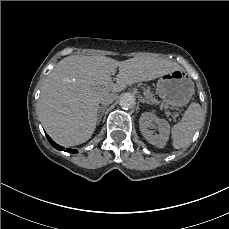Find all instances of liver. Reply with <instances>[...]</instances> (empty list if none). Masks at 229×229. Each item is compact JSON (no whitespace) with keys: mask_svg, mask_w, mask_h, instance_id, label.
Wrapping results in <instances>:
<instances>
[{"mask_svg":"<svg viewBox=\"0 0 229 229\" xmlns=\"http://www.w3.org/2000/svg\"><path fill=\"white\" fill-rule=\"evenodd\" d=\"M116 84H111V75ZM182 69L176 62L152 57L117 61L105 56H68L43 83L36 110L54 142L69 147L89 140L96 128L99 103H112L126 86ZM112 91V93H110Z\"/></svg>","mask_w":229,"mask_h":229,"instance_id":"liver-1","label":"liver"}]
</instances>
